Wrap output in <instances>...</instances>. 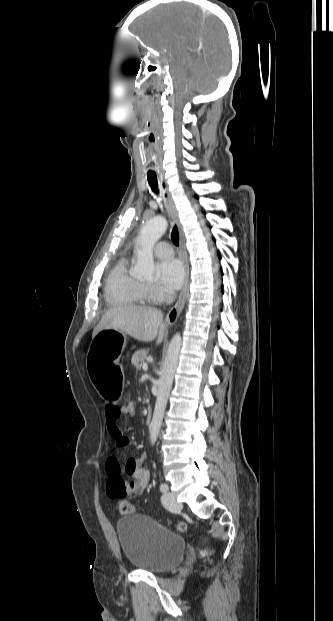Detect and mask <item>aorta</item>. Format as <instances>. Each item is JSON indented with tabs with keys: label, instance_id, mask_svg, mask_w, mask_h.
I'll use <instances>...</instances> for the list:
<instances>
[{
	"label": "aorta",
	"instance_id": "obj_1",
	"mask_svg": "<svg viewBox=\"0 0 333 621\" xmlns=\"http://www.w3.org/2000/svg\"><path fill=\"white\" fill-rule=\"evenodd\" d=\"M166 229L167 221L162 216H156L148 220L141 228L137 241L139 245V250L137 252V266L135 271L137 277L146 279L153 277V248ZM181 343V336L179 333H176L169 343L167 355L158 380V393L151 421L150 439L152 444H155L162 425L167 400L172 387L175 370L178 365Z\"/></svg>",
	"mask_w": 333,
	"mask_h": 621
}]
</instances>
